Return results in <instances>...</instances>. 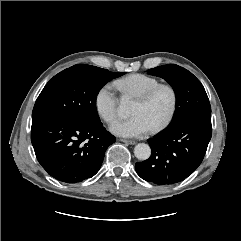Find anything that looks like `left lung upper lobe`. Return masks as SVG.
<instances>
[{"instance_id":"left-lung-upper-lobe-1","label":"left lung upper lobe","mask_w":241,"mask_h":241,"mask_svg":"<svg viewBox=\"0 0 241 241\" xmlns=\"http://www.w3.org/2000/svg\"><path fill=\"white\" fill-rule=\"evenodd\" d=\"M149 74L165 79L176 94V111L167 128L204 113H211L208 96L200 81L188 70L175 64L152 68Z\"/></svg>"}]
</instances>
